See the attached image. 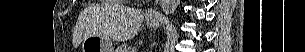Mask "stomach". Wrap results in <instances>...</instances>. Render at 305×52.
Instances as JSON below:
<instances>
[{"instance_id":"0dacf381","label":"stomach","mask_w":305,"mask_h":52,"mask_svg":"<svg viewBox=\"0 0 305 52\" xmlns=\"http://www.w3.org/2000/svg\"><path fill=\"white\" fill-rule=\"evenodd\" d=\"M152 27H156L159 22L152 21L148 23ZM81 52H114L112 41L103 36L90 35L82 40Z\"/></svg>"}]
</instances>
